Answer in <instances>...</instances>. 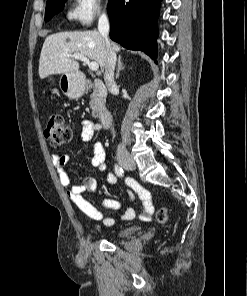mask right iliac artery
I'll return each instance as SVG.
<instances>
[{
    "label": "right iliac artery",
    "mask_w": 247,
    "mask_h": 296,
    "mask_svg": "<svg viewBox=\"0 0 247 296\" xmlns=\"http://www.w3.org/2000/svg\"><path fill=\"white\" fill-rule=\"evenodd\" d=\"M115 173L117 174V176L119 177H123L124 175V171L122 169V167L118 166V165H115Z\"/></svg>",
    "instance_id": "right-iliac-artery-1"
}]
</instances>
